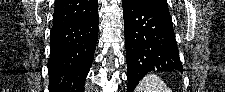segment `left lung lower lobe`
<instances>
[{
    "mask_svg": "<svg viewBox=\"0 0 225 92\" xmlns=\"http://www.w3.org/2000/svg\"><path fill=\"white\" fill-rule=\"evenodd\" d=\"M128 92L151 71H180L182 64L169 12L122 0Z\"/></svg>",
    "mask_w": 225,
    "mask_h": 92,
    "instance_id": "obj_1",
    "label": "left lung lower lobe"
}]
</instances>
